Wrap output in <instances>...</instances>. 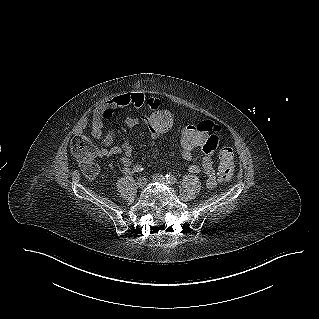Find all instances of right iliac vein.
Segmentation results:
<instances>
[{"label": "right iliac vein", "mask_w": 319, "mask_h": 319, "mask_svg": "<svg viewBox=\"0 0 319 319\" xmlns=\"http://www.w3.org/2000/svg\"><path fill=\"white\" fill-rule=\"evenodd\" d=\"M146 183H147V180H146L145 177H140V178H138V180H137V186H138L139 188H144L145 185H146Z\"/></svg>", "instance_id": "1"}]
</instances>
